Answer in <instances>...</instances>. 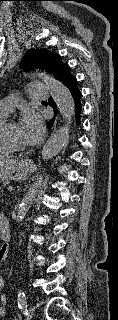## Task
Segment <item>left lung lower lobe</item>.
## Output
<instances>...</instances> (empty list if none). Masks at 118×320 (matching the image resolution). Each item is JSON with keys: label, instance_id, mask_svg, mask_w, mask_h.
Returning a JSON list of instances; mask_svg holds the SVG:
<instances>
[{"label": "left lung lower lobe", "instance_id": "1", "mask_svg": "<svg viewBox=\"0 0 118 320\" xmlns=\"http://www.w3.org/2000/svg\"><path fill=\"white\" fill-rule=\"evenodd\" d=\"M71 92V95L74 99L75 103V113H76V120L77 123H80V112L82 109V105L80 102L81 98V92L77 87V79L70 73V68L68 72L63 76V78L60 80ZM49 105L53 107L54 110H57L56 104L53 100L49 101ZM54 120H51L48 124V127L51 128L53 125Z\"/></svg>", "mask_w": 118, "mask_h": 320}]
</instances>
